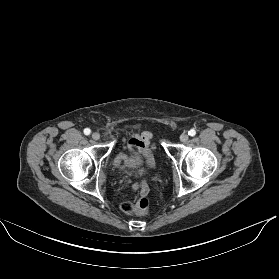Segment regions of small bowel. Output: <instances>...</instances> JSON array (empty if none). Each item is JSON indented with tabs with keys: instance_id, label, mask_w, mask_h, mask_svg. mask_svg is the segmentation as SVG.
Listing matches in <instances>:
<instances>
[{
	"instance_id": "c3829d8e",
	"label": "small bowel",
	"mask_w": 279,
	"mask_h": 279,
	"mask_svg": "<svg viewBox=\"0 0 279 279\" xmlns=\"http://www.w3.org/2000/svg\"><path fill=\"white\" fill-rule=\"evenodd\" d=\"M151 149H153L151 133L143 131L127 142V154L120 153L116 157L115 165L120 167L121 163L124 162L127 167L137 168L146 165L152 168L154 160L150 154ZM133 188L139 190L142 195H145L148 191V186L145 182L137 183Z\"/></svg>"
}]
</instances>
